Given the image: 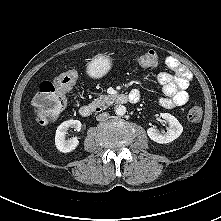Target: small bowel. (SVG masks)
I'll return each mask as SVG.
<instances>
[{
	"label": "small bowel",
	"instance_id": "1",
	"mask_svg": "<svg viewBox=\"0 0 221 221\" xmlns=\"http://www.w3.org/2000/svg\"><path fill=\"white\" fill-rule=\"evenodd\" d=\"M166 66L172 72L160 73L158 83L162 87L164 96L159 98V103L165 108H174L185 105L189 100L187 88L191 81V74L176 58L167 57ZM130 95H137L140 98V92L133 90Z\"/></svg>",
	"mask_w": 221,
	"mask_h": 221
}]
</instances>
